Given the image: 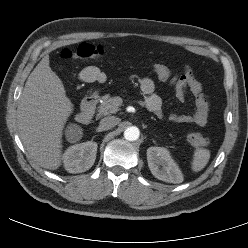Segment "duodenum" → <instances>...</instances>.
I'll use <instances>...</instances> for the list:
<instances>
[{
  "instance_id": "1",
  "label": "duodenum",
  "mask_w": 248,
  "mask_h": 248,
  "mask_svg": "<svg viewBox=\"0 0 248 248\" xmlns=\"http://www.w3.org/2000/svg\"><path fill=\"white\" fill-rule=\"evenodd\" d=\"M97 102L98 96L96 94H91L83 100L81 109L76 115V120L78 123L88 124L91 122Z\"/></svg>"
}]
</instances>
